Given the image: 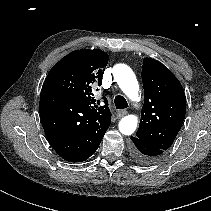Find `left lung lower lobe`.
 <instances>
[{
    "label": "left lung lower lobe",
    "mask_w": 211,
    "mask_h": 211,
    "mask_svg": "<svg viewBox=\"0 0 211 211\" xmlns=\"http://www.w3.org/2000/svg\"><path fill=\"white\" fill-rule=\"evenodd\" d=\"M131 140L133 142L131 144V155L139 164H152L164 153L163 150L154 148L137 137L132 136Z\"/></svg>",
    "instance_id": "0a47b994"
}]
</instances>
